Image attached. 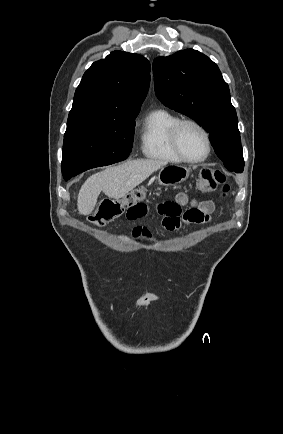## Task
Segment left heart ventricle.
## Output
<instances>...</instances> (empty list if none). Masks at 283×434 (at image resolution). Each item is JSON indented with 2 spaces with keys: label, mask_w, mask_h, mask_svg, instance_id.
Returning <instances> with one entry per match:
<instances>
[{
  "label": "left heart ventricle",
  "mask_w": 283,
  "mask_h": 434,
  "mask_svg": "<svg viewBox=\"0 0 283 434\" xmlns=\"http://www.w3.org/2000/svg\"><path fill=\"white\" fill-rule=\"evenodd\" d=\"M179 144L183 153L192 159L206 153V142L201 131L193 125H184L179 132Z\"/></svg>",
  "instance_id": "obj_1"
}]
</instances>
